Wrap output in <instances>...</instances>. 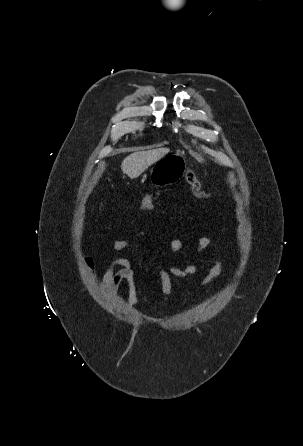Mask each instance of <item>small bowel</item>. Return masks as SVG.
<instances>
[{"mask_svg":"<svg viewBox=\"0 0 303 446\" xmlns=\"http://www.w3.org/2000/svg\"><path fill=\"white\" fill-rule=\"evenodd\" d=\"M146 234L147 233L145 231L141 230L135 232V235L138 238H144ZM183 247L184 241L181 238H175L170 243V251L173 255L178 254L183 249ZM113 248L116 251L133 249L148 250L146 244L137 240H115L113 242ZM208 249H213L218 254V259L207 276L203 279V286H208L215 279H217L222 273L224 266L223 257L212 240L209 237L199 238L195 246V253L197 257L200 258ZM83 263L86 271L93 278L95 276V263L93 258L88 254H85L83 256ZM155 266L160 279L161 291L165 301L169 299V296L172 292L174 278H178L180 280L188 279L197 270V262H194L185 268H181L174 263L170 264L168 267H165L158 260H155ZM123 282L127 284L128 288L127 306L129 309H132L139 301L132 263L126 258H117L111 263L102 278V289L106 294L112 297L116 294L119 286Z\"/></svg>","mask_w":303,"mask_h":446,"instance_id":"obj_1","label":"small bowel"}]
</instances>
